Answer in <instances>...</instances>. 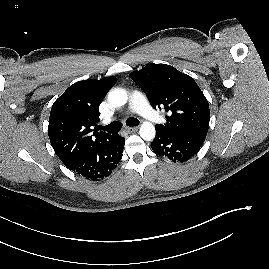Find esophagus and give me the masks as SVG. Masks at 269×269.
Wrapping results in <instances>:
<instances>
[{"mask_svg": "<svg viewBox=\"0 0 269 269\" xmlns=\"http://www.w3.org/2000/svg\"><path fill=\"white\" fill-rule=\"evenodd\" d=\"M138 130V127H127L126 131L129 133L136 132Z\"/></svg>", "mask_w": 269, "mask_h": 269, "instance_id": "obj_1", "label": "esophagus"}]
</instances>
